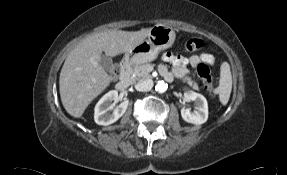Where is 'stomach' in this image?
Wrapping results in <instances>:
<instances>
[{"instance_id": "stomach-1", "label": "stomach", "mask_w": 287, "mask_h": 175, "mask_svg": "<svg viewBox=\"0 0 287 175\" xmlns=\"http://www.w3.org/2000/svg\"><path fill=\"white\" fill-rule=\"evenodd\" d=\"M175 37L176 34L172 27L157 24L151 28L146 40L125 53L124 60L132 65L152 61L160 51L173 45Z\"/></svg>"}]
</instances>
